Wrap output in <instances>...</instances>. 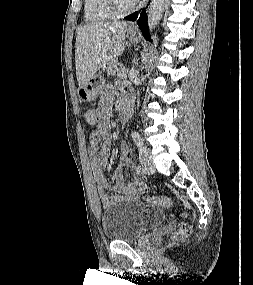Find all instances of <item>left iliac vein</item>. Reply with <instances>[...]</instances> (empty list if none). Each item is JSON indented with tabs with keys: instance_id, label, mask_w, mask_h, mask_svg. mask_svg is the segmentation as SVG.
<instances>
[{
	"instance_id": "4c4485c4",
	"label": "left iliac vein",
	"mask_w": 253,
	"mask_h": 285,
	"mask_svg": "<svg viewBox=\"0 0 253 285\" xmlns=\"http://www.w3.org/2000/svg\"><path fill=\"white\" fill-rule=\"evenodd\" d=\"M140 162L147 173H152L155 170L153 159L151 156V150L148 147L140 148Z\"/></svg>"
}]
</instances>
